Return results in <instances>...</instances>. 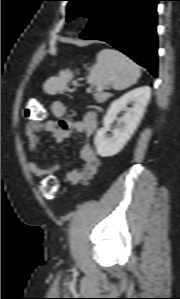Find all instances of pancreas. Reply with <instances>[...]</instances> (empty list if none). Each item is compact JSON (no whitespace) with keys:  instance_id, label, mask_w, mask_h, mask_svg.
<instances>
[{"instance_id":"pancreas-1","label":"pancreas","mask_w":180,"mask_h":299,"mask_svg":"<svg viewBox=\"0 0 180 299\" xmlns=\"http://www.w3.org/2000/svg\"><path fill=\"white\" fill-rule=\"evenodd\" d=\"M111 96L110 93L107 92H98L95 94V98L98 102H104Z\"/></svg>"}]
</instances>
